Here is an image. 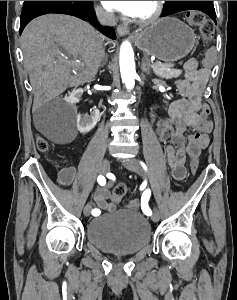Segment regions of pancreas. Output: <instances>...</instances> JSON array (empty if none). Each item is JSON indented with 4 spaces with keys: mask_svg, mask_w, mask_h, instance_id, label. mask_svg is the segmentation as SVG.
Instances as JSON below:
<instances>
[{
    "mask_svg": "<svg viewBox=\"0 0 237 300\" xmlns=\"http://www.w3.org/2000/svg\"><path fill=\"white\" fill-rule=\"evenodd\" d=\"M150 65L149 67H151V65H155L152 63V61H149ZM158 65H168V64H158ZM173 66V65H172ZM153 69L155 75H160V77H163V79H176V77H180L181 75V71H179V69H171V68H151Z\"/></svg>",
    "mask_w": 237,
    "mask_h": 300,
    "instance_id": "pancreas-1",
    "label": "pancreas"
}]
</instances>
